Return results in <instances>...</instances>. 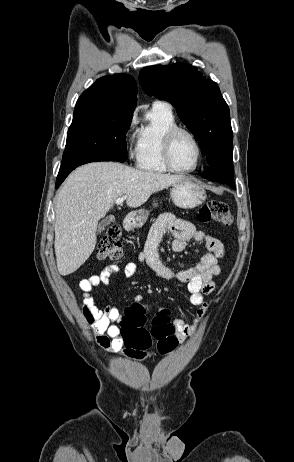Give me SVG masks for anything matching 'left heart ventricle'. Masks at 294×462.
Instances as JSON below:
<instances>
[{
  "mask_svg": "<svg viewBox=\"0 0 294 462\" xmlns=\"http://www.w3.org/2000/svg\"><path fill=\"white\" fill-rule=\"evenodd\" d=\"M197 150L193 141L186 135L176 137L172 146V161L177 168H191L196 161Z\"/></svg>",
  "mask_w": 294,
  "mask_h": 462,
  "instance_id": "obj_1",
  "label": "left heart ventricle"
}]
</instances>
